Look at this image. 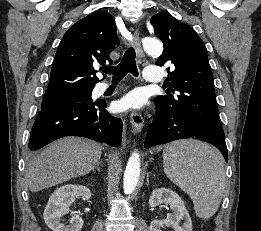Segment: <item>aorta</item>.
I'll use <instances>...</instances> for the list:
<instances>
[{
    "label": "aorta",
    "instance_id": "obj_1",
    "mask_svg": "<svg viewBox=\"0 0 261 231\" xmlns=\"http://www.w3.org/2000/svg\"><path fill=\"white\" fill-rule=\"evenodd\" d=\"M144 49L151 56H160L163 52V45L160 41H148L144 44ZM140 175V156L137 151L133 152L127 162L123 189L125 194H131L138 183Z\"/></svg>",
    "mask_w": 261,
    "mask_h": 231
}]
</instances>
